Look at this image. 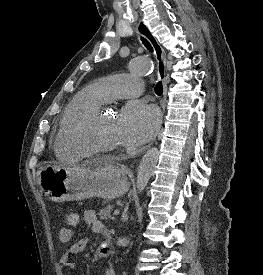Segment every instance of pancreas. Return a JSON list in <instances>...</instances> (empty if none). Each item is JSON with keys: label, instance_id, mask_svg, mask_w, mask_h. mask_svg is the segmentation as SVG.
<instances>
[{"label": "pancreas", "instance_id": "1", "mask_svg": "<svg viewBox=\"0 0 263 275\" xmlns=\"http://www.w3.org/2000/svg\"><path fill=\"white\" fill-rule=\"evenodd\" d=\"M112 208H113L112 205H108L107 207L101 209L99 214H98L100 219H102V220H104V219H113V217L111 215Z\"/></svg>", "mask_w": 263, "mask_h": 275}]
</instances>
